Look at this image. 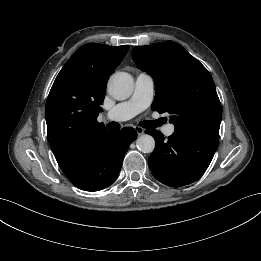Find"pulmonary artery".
<instances>
[{"mask_svg": "<svg viewBox=\"0 0 261 261\" xmlns=\"http://www.w3.org/2000/svg\"><path fill=\"white\" fill-rule=\"evenodd\" d=\"M153 95V77L148 73L141 72L136 77L134 91L130 99L115 105L107 112L106 117L116 122L131 119L150 105ZM174 130V125L168 124L163 131L166 136H170L174 133Z\"/></svg>", "mask_w": 261, "mask_h": 261, "instance_id": "e3ab8cb5", "label": "pulmonary artery"}]
</instances>
